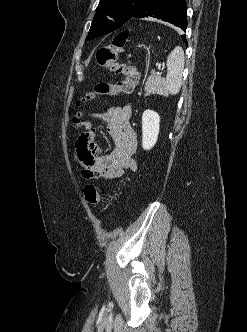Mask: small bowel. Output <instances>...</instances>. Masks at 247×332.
Listing matches in <instances>:
<instances>
[{"mask_svg": "<svg viewBox=\"0 0 247 332\" xmlns=\"http://www.w3.org/2000/svg\"><path fill=\"white\" fill-rule=\"evenodd\" d=\"M132 109L130 105L116 106L107 112L93 113L92 117L104 123L114 147L106 153L97 146V129L89 122L82 124L84 132L76 141V156L83 169L86 180L113 181L121 177L125 170L135 171L133 158L137 150V134L130 124Z\"/></svg>", "mask_w": 247, "mask_h": 332, "instance_id": "1", "label": "small bowel"}]
</instances>
